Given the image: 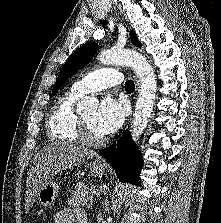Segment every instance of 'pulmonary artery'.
Here are the masks:
<instances>
[{"label":"pulmonary artery","instance_id":"e3ab8cb5","mask_svg":"<svg viewBox=\"0 0 221 223\" xmlns=\"http://www.w3.org/2000/svg\"><path fill=\"white\" fill-rule=\"evenodd\" d=\"M123 74L113 68L91 71L83 78L75 81L71 90L78 95H85L91 92L104 90L111 86L121 84Z\"/></svg>","mask_w":221,"mask_h":223}]
</instances>
